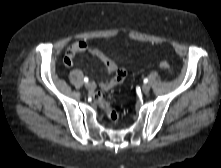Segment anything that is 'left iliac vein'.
<instances>
[{
  "label": "left iliac vein",
  "mask_w": 221,
  "mask_h": 168,
  "mask_svg": "<svg viewBox=\"0 0 221 168\" xmlns=\"http://www.w3.org/2000/svg\"><path fill=\"white\" fill-rule=\"evenodd\" d=\"M149 91H150V86H149L148 84H144V85L142 86V92H143L144 94H147V93H149Z\"/></svg>",
  "instance_id": "4c4485c4"
}]
</instances>
